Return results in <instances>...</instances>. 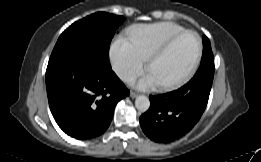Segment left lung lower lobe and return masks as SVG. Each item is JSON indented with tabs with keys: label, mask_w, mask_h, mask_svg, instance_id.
<instances>
[{
	"label": "left lung lower lobe",
	"mask_w": 261,
	"mask_h": 162,
	"mask_svg": "<svg viewBox=\"0 0 261 162\" xmlns=\"http://www.w3.org/2000/svg\"><path fill=\"white\" fill-rule=\"evenodd\" d=\"M214 72H198L178 90L150 96V108L140 117L143 132L152 141L169 143L186 135L200 120Z\"/></svg>",
	"instance_id": "left-lung-lower-lobe-1"
}]
</instances>
